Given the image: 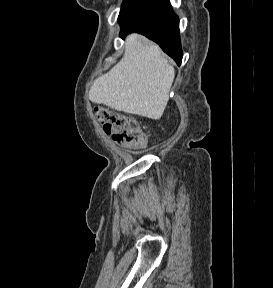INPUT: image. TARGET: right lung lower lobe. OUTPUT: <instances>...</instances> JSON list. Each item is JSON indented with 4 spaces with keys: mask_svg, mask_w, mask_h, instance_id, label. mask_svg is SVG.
<instances>
[{
    "mask_svg": "<svg viewBox=\"0 0 273 288\" xmlns=\"http://www.w3.org/2000/svg\"><path fill=\"white\" fill-rule=\"evenodd\" d=\"M122 39L138 32L158 43L178 65L182 61L179 19L169 0H139L120 22Z\"/></svg>",
    "mask_w": 273,
    "mask_h": 288,
    "instance_id": "obj_1",
    "label": "right lung lower lobe"
}]
</instances>
